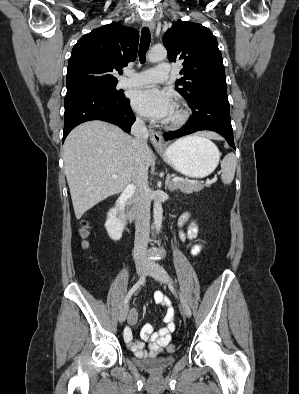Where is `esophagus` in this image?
<instances>
[{"instance_id":"34e87169","label":"esophagus","mask_w":299,"mask_h":394,"mask_svg":"<svg viewBox=\"0 0 299 394\" xmlns=\"http://www.w3.org/2000/svg\"><path fill=\"white\" fill-rule=\"evenodd\" d=\"M143 25L145 27H148L150 30L154 29V25L150 21H144ZM150 140H151V143L153 144V146L155 148H163V147H165L164 141L162 139V135L158 131H155L153 129L150 130Z\"/></svg>"}]
</instances>
